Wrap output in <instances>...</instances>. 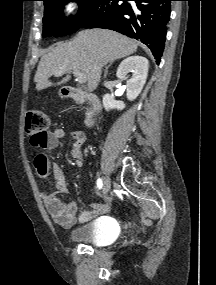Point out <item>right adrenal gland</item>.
I'll return each mask as SVG.
<instances>
[{
	"mask_svg": "<svg viewBox=\"0 0 216 285\" xmlns=\"http://www.w3.org/2000/svg\"><path fill=\"white\" fill-rule=\"evenodd\" d=\"M113 64V61L109 63V65L106 66L105 68V74H104V77L107 76V73H108V68Z\"/></svg>",
	"mask_w": 216,
	"mask_h": 285,
	"instance_id": "2a0ac1e0",
	"label": "right adrenal gland"
}]
</instances>
